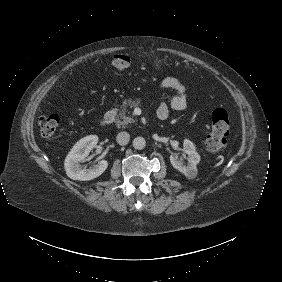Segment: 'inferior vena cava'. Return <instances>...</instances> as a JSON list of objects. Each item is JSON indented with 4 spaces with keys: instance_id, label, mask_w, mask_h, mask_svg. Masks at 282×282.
<instances>
[{
    "instance_id": "inferior-vena-cava-1",
    "label": "inferior vena cava",
    "mask_w": 282,
    "mask_h": 282,
    "mask_svg": "<svg viewBox=\"0 0 282 282\" xmlns=\"http://www.w3.org/2000/svg\"><path fill=\"white\" fill-rule=\"evenodd\" d=\"M130 140V134L126 131H121L117 134V142L120 145H126Z\"/></svg>"
}]
</instances>
